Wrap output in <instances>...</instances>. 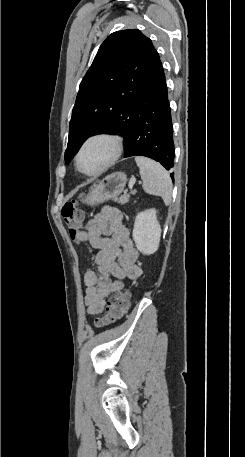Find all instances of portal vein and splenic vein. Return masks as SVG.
I'll use <instances>...</instances> for the list:
<instances>
[{
  "mask_svg": "<svg viewBox=\"0 0 245 457\" xmlns=\"http://www.w3.org/2000/svg\"><path fill=\"white\" fill-rule=\"evenodd\" d=\"M135 180H136L135 176H131L130 181L128 182L129 190H132L133 187H135V182H136Z\"/></svg>",
  "mask_w": 245,
  "mask_h": 457,
  "instance_id": "18ae733b",
  "label": "portal vein and splenic vein"
}]
</instances>
